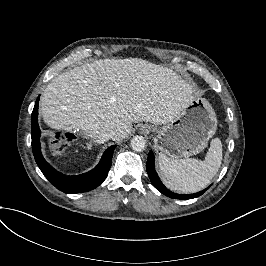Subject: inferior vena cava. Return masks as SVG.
Instances as JSON below:
<instances>
[{"label":"inferior vena cava","instance_id":"1","mask_svg":"<svg viewBox=\"0 0 266 266\" xmlns=\"http://www.w3.org/2000/svg\"><path fill=\"white\" fill-rule=\"evenodd\" d=\"M114 134H115L114 131L102 130V131L96 132L93 139L95 140V142L101 144L111 139Z\"/></svg>","mask_w":266,"mask_h":266}]
</instances>
